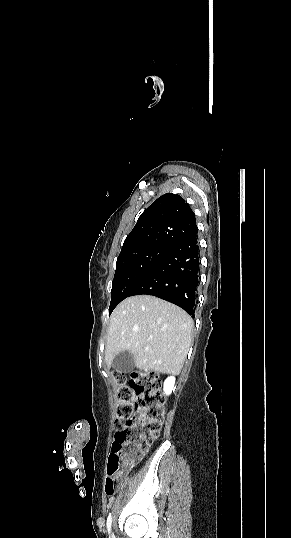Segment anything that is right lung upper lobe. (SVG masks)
Here are the masks:
<instances>
[{
    "instance_id": "1",
    "label": "right lung upper lobe",
    "mask_w": 291,
    "mask_h": 538,
    "mask_svg": "<svg viewBox=\"0 0 291 538\" xmlns=\"http://www.w3.org/2000/svg\"><path fill=\"white\" fill-rule=\"evenodd\" d=\"M197 231L195 214L189 204L179 195L167 193L140 215L120 254L150 245L172 248Z\"/></svg>"
}]
</instances>
